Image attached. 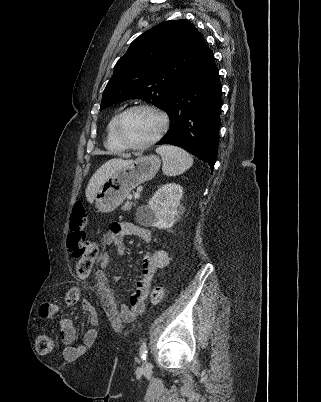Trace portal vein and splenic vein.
I'll list each match as a JSON object with an SVG mask.
<instances>
[{
    "label": "portal vein and splenic vein",
    "mask_w": 321,
    "mask_h": 402,
    "mask_svg": "<svg viewBox=\"0 0 321 402\" xmlns=\"http://www.w3.org/2000/svg\"><path fill=\"white\" fill-rule=\"evenodd\" d=\"M134 197H135L136 199H138V198L140 197V193H139V192L134 193Z\"/></svg>",
    "instance_id": "18ae733b"
}]
</instances>
